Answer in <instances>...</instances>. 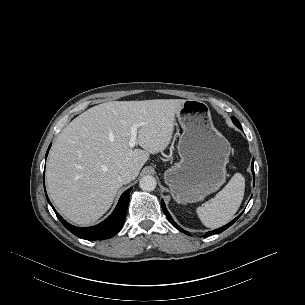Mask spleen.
Instances as JSON below:
<instances>
[{
  "mask_svg": "<svg viewBox=\"0 0 305 305\" xmlns=\"http://www.w3.org/2000/svg\"><path fill=\"white\" fill-rule=\"evenodd\" d=\"M245 178L235 173L228 184L204 206L197 208L201 222L209 228L227 224L238 211L244 196Z\"/></svg>",
  "mask_w": 305,
  "mask_h": 305,
  "instance_id": "1",
  "label": "spleen"
}]
</instances>
